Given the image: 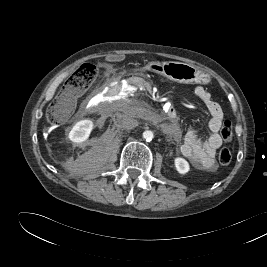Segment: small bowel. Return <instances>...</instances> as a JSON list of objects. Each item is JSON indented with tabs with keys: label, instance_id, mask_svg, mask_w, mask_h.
Listing matches in <instances>:
<instances>
[{
	"label": "small bowel",
	"instance_id": "1",
	"mask_svg": "<svg viewBox=\"0 0 267 267\" xmlns=\"http://www.w3.org/2000/svg\"><path fill=\"white\" fill-rule=\"evenodd\" d=\"M195 96L203 102L210 114L208 127L211 134L202 139L199 133L190 128L181 146V153L188 158L192 164L200 169L212 171L216 168L215 154L222 145V138L219 134L223 123V110L219 103L211 97L207 89L201 85L194 88Z\"/></svg>",
	"mask_w": 267,
	"mask_h": 267
}]
</instances>
